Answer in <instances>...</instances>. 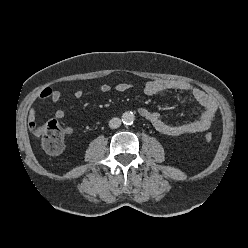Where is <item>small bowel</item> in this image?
<instances>
[{
	"instance_id": "1",
	"label": "small bowel",
	"mask_w": 248,
	"mask_h": 248,
	"mask_svg": "<svg viewBox=\"0 0 248 248\" xmlns=\"http://www.w3.org/2000/svg\"><path fill=\"white\" fill-rule=\"evenodd\" d=\"M132 87L133 85L131 83L120 82L116 85L115 89L118 92H126ZM111 90L112 87L106 83L102 84L100 87V91L104 94L110 93ZM168 90L190 93L192 97L203 107V112L200 118L195 121L170 124L163 120L160 113L151 111L145 107H140L138 109V113L149 121L158 132L169 136H179L182 134L204 132L210 128L215 119L218 106L216 101L200 88L194 87L190 83L182 80L158 79L147 82L143 89L144 94L147 96H153ZM82 97V90L77 89L73 92L74 99L79 100ZM38 99H49L53 103H58L62 99V93L59 90L47 87L40 92ZM54 115L57 119H62L65 116V111L61 108H57ZM28 126L31 132L35 135V130L37 129L35 105H32L29 111ZM66 133H72V129L70 127L66 128Z\"/></svg>"
}]
</instances>
